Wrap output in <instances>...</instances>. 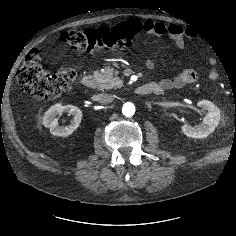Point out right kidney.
Segmentation results:
<instances>
[{
    "mask_svg": "<svg viewBox=\"0 0 236 236\" xmlns=\"http://www.w3.org/2000/svg\"><path fill=\"white\" fill-rule=\"evenodd\" d=\"M63 113H68L73 117L68 126L58 125L57 116H60ZM82 116V111L76 106H62L61 104H55L45 112L43 125L50 129L51 134L67 137L78 128Z\"/></svg>",
    "mask_w": 236,
    "mask_h": 236,
    "instance_id": "ca27d5eb",
    "label": "right kidney"
}]
</instances>
